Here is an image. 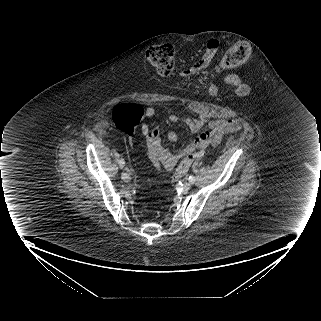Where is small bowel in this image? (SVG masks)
I'll list each match as a JSON object with an SVG mask.
<instances>
[{
    "label": "small bowel",
    "mask_w": 321,
    "mask_h": 321,
    "mask_svg": "<svg viewBox=\"0 0 321 321\" xmlns=\"http://www.w3.org/2000/svg\"><path fill=\"white\" fill-rule=\"evenodd\" d=\"M219 48L220 42L217 39H210L206 44L202 56L187 69H185L182 75L185 77L191 76L208 67L216 56ZM226 82L231 86L233 93L243 95L248 93L250 87L252 86L253 77L251 75H246L242 82V80L237 78L235 75H230L227 77ZM206 88L210 94H213L216 91V85L213 82L207 83ZM155 114L156 110L152 107H148L145 110V116L147 118H152L155 116ZM168 119L174 123H183L193 133L199 132L205 124L202 118L183 117L174 112L168 115ZM239 129L240 124L238 122L229 118H218L208 122L207 131L204 133H208L209 135L208 144L217 146L223 141L226 134L235 132ZM141 132L146 136L148 155L152 163L157 168L172 170L181 158L190 154L196 148L194 141L182 149L172 152L163 146L159 133V127L150 128V126L145 123L141 126ZM168 140L170 142L177 143L180 140V136L176 131H170L168 133Z\"/></svg>",
    "instance_id": "1"
}]
</instances>
